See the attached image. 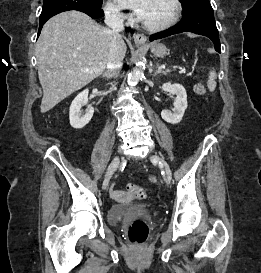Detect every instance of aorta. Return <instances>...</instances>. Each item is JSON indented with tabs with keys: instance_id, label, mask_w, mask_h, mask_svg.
<instances>
[{
	"instance_id": "1",
	"label": "aorta",
	"mask_w": 261,
	"mask_h": 273,
	"mask_svg": "<svg viewBox=\"0 0 261 273\" xmlns=\"http://www.w3.org/2000/svg\"><path fill=\"white\" fill-rule=\"evenodd\" d=\"M143 70L144 64L142 62H138L128 75V84L136 85L143 75Z\"/></svg>"
}]
</instances>
